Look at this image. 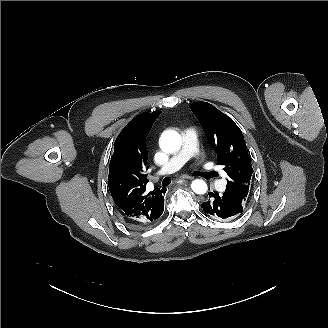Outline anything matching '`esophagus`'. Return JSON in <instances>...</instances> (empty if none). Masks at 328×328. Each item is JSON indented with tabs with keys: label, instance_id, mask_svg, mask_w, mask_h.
<instances>
[{
	"label": "esophagus",
	"instance_id": "esophagus-1",
	"mask_svg": "<svg viewBox=\"0 0 328 328\" xmlns=\"http://www.w3.org/2000/svg\"><path fill=\"white\" fill-rule=\"evenodd\" d=\"M180 179H193V177L188 175H182L180 176Z\"/></svg>",
	"mask_w": 328,
	"mask_h": 328
}]
</instances>
